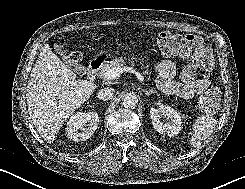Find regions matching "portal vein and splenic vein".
Masks as SVG:
<instances>
[{"instance_id": "obj_1", "label": "portal vein and splenic vein", "mask_w": 245, "mask_h": 189, "mask_svg": "<svg viewBox=\"0 0 245 189\" xmlns=\"http://www.w3.org/2000/svg\"><path fill=\"white\" fill-rule=\"evenodd\" d=\"M123 72L134 73L139 81L142 82L144 80L143 75L133 69V67L105 69L101 71L100 76L106 80H113L119 78Z\"/></svg>"}]
</instances>
